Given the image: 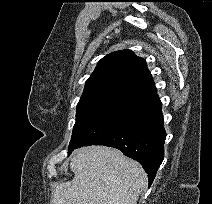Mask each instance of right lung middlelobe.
I'll return each instance as SVG.
<instances>
[{
    "mask_svg": "<svg viewBox=\"0 0 212 204\" xmlns=\"http://www.w3.org/2000/svg\"><path fill=\"white\" fill-rule=\"evenodd\" d=\"M144 106L119 99H98L77 105L68 151L101 141L126 125Z\"/></svg>",
    "mask_w": 212,
    "mask_h": 204,
    "instance_id": "obj_1",
    "label": "right lung middle lobe"
}]
</instances>
